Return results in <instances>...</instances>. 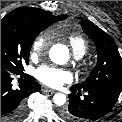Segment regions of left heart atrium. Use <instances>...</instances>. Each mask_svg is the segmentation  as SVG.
Segmentation results:
<instances>
[{"instance_id": "39dd6f15", "label": "left heart atrium", "mask_w": 122, "mask_h": 122, "mask_svg": "<svg viewBox=\"0 0 122 122\" xmlns=\"http://www.w3.org/2000/svg\"><path fill=\"white\" fill-rule=\"evenodd\" d=\"M36 77L41 83L52 88H59L71 82L73 78L69 71L52 65L40 66L36 71Z\"/></svg>"}]
</instances>
